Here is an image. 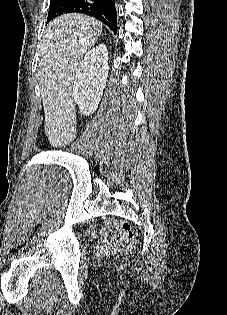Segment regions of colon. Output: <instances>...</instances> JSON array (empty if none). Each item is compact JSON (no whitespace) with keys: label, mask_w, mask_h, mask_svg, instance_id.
Here are the masks:
<instances>
[{"label":"colon","mask_w":227,"mask_h":315,"mask_svg":"<svg viewBox=\"0 0 227 315\" xmlns=\"http://www.w3.org/2000/svg\"><path fill=\"white\" fill-rule=\"evenodd\" d=\"M120 227L122 241L129 249H133L135 247L136 239L133 225L129 221H122Z\"/></svg>","instance_id":"1"}]
</instances>
